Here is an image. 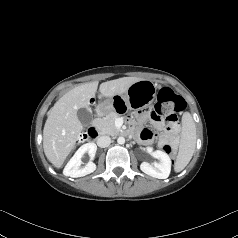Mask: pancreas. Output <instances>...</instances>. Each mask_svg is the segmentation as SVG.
<instances>
[{
  "instance_id": "obj_1",
  "label": "pancreas",
  "mask_w": 238,
  "mask_h": 238,
  "mask_svg": "<svg viewBox=\"0 0 238 238\" xmlns=\"http://www.w3.org/2000/svg\"><path fill=\"white\" fill-rule=\"evenodd\" d=\"M116 118L117 114L111 112L103 118L95 119L93 125L100 133L114 136L119 133V129L115 126Z\"/></svg>"
}]
</instances>
